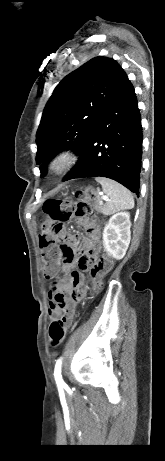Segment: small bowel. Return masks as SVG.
<instances>
[{
	"label": "small bowel",
	"mask_w": 165,
	"mask_h": 461,
	"mask_svg": "<svg viewBox=\"0 0 165 461\" xmlns=\"http://www.w3.org/2000/svg\"><path fill=\"white\" fill-rule=\"evenodd\" d=\"M78 223L85 226L87 234H68L66 244L70 250L78 251H60V262L56 264V272L61 271L64 277L54 282L50 286L49 296V317L55 319L62 315L65 325H70L75 314L76 303L80 301L87 292V287L83 275L74 271L73 267L78 266L81 269H88L92 276L106 273L107 270H101L93 263L94 257L101 249L100 230L93 221L80 218ZM79 256V258H78ZM111 267V266H110Z\"/></svg>",
	"instance_id": "1"
}]
</instances>
